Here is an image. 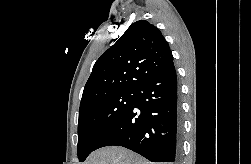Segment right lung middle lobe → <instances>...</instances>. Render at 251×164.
Here are the masks:
<instances>
[{"label":"right lung middle lobe","instance_id":"right-lung-middle-lobe-1","mask_svg":"<svg viewBox=\"0 0 251 164\" xmlns=\"http://www.w3.org/2000/svg\"><path fill=\"white\" fill-rule=\"evenodd\" d=\"M137 89L120 90L99 96L79 109L78 158L84 162L104 135L133 106Z\"/></svg>","mask_w":251,"mask_h":164}]
</instances>
